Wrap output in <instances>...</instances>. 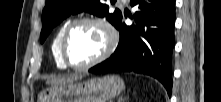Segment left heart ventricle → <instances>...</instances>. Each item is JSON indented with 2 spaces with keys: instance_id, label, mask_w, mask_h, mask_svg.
Segmentation results:
<instances>
[{
  "instance_id": "b2bd125f",
  "label": "left heart ventricle",
  "mask_w": 221,
  "mask_h": 102,
  "mask_svg": "<svg viewBox=\"0 0 221 102\" xmlns=\"http://www.w3.org/2000/svg\"><path fill=\"white\" fill-rule=\"evenodd\" d=\"M105 44V33L100 27L89 23L78 24L68 36L66 55L72 64H86L103 51Z\"/></svg>"
}]
</instances>
